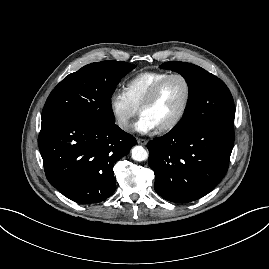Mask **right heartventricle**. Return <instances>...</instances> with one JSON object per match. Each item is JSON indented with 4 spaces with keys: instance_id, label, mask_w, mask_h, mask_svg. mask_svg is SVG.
<instances>
[{
    "instance_id": "obj_1",
    "label": "right heart ventricle",
    "mask_w": 269,
    "mask_h": 269,
    "mask_svg": "<svg viewBox=\"0 0 269 269\" xmlns=\"http://www.w3.org/2000/svg\"><path fill=\"white\" fill-rule=\"evenodd\" d=\"M167 75L169 73L165 71L141 72L127 81L124 92L129 101L139 109L151 89Z\"/></svg>"
}]
</instances>
